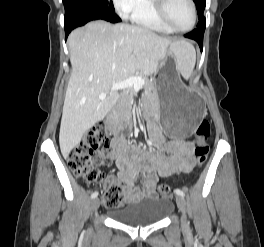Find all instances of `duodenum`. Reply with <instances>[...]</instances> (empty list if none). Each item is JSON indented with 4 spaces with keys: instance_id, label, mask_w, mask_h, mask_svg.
Returning <instances> with one entry per match:
<instances>
[{
    "instance_id": "obj_1",
    "label": "duodenum",
    "mask_w": 264,
    "mask_h": 247,
    "mask_svg": "<svg viewBox=\"0 0 264 247\" xmlns=\"http://www.w3.org/2000/svg\"><path fill=\"white\" fill-rule=\"evenodd\" d=\"M104 120H105V124H106L107 128L114 135L120 134L128 125L132 124V119L129 120L127 123L118 122L115 119L112 111L107 112Z\"/></svg>"
}]
</instances>
